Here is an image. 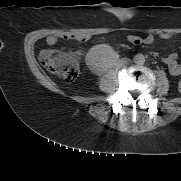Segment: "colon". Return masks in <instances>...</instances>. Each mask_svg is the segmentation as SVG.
<instances>
[{
	"instance_id": "1",
	"label": "colon",
	"mask_w": 181,
	"mask_h": 181,
	"mask_svg": "<svg viewBox=\"0 0 181 181\" xmlns=\"http://www.w3.org/2000/svg\"><path fill=\"white\" fill-rule=\"evenodd\" d=\"M41 65L49 72L67 82L74 81L78 76V64L74 57L59 52L44 50L39 55ZM181 92V80L178 83Z\"/></svg>"
}]
</instances>
